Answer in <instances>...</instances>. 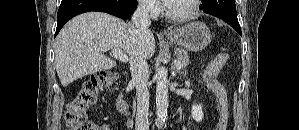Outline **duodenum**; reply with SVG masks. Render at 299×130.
Instances as JSON below:
<instances>
[{
  "mask_svg": "<svg viewBox=\"0 0 299 130\" xmlns=\"http://www.w3.org/2000/svg\"><path fill=\"white\" fill-rule=\"evenodd\" d=\"M116 106L118 110L128 118V126L132 125L131 121V110L126 100V90L123 89L119 92L116 98Z\"/></svg>",
  "mask_w": 299,
  "mask_h": 130,
  "instance_id": "410a0bca",
  "label": "duodenum"
}]
</instances>
